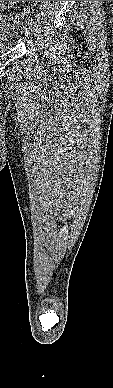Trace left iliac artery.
I'll list each match as a JSON object with an SVG mask.
<instances>
[{"label":"left iliac artery","instance_id":"left-iliac-artery-1","mask_svg":"<svg viewBox=\"0 0 113 388\" xmlns=\"http://www.w3.org/2000/svg\"><path fill=\"white\" fill-rule=\"evenodd\" d=\"M26 23L32 25L34 23V20L32 18L28 17V18H26Z\"/></svg>","mask_w":113,"mask_h":388}]
</instances>
